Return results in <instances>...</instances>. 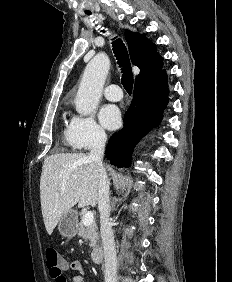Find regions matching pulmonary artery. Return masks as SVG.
<instances>
[{"label": "pulmonary artery", "mask_w": 232, "mask_h": 282, "mask_svg": "<svg viewBox=\"0 0 232 282\" xmlns=\"http://www.w3.org/2000/svg\"><path fill=\"white\" fill-rule=\"evenodd\" d=\"M103 94L110 101H119L123 97L121 88L116 84L107 85L104 88Z\"/></svg>", "instance_id": "e3ab8cb5"}]
</instances>
